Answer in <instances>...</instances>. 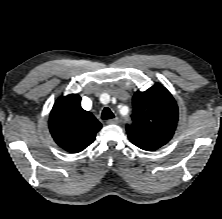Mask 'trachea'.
<instances>
[{"mask_svg": "<svg viewBox=\"0 0 222 219\" xmlns=\"http://www.w3.org/2000/svg\"><path fill=\"white\" fill-rule=\"evenodd\" d=\"M114 114L113 112L108 108V107H105L102 111V115H101V118L103 120H108V119H112L114 118Z\"/></svg>", "mask_w": 222, "mask_h": 219, "instance_id": "3493384b", "label": "trachea"}]
</instances>
